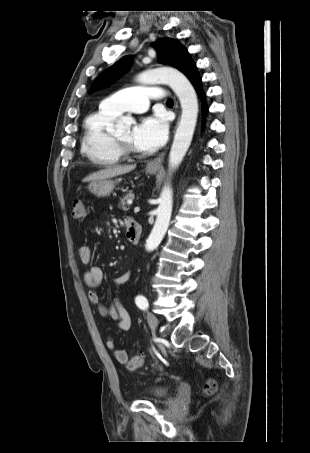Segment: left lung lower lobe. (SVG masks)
Instances as JSON below:
<instances>
[{"label":"left lung lower lobe","instance_id":"left-lung-lower-lobe-1","mask_svg":"<svg viewBox=\"0 0 310 453\" xmlns=\"http://www.w3.org/2000/svg\"><path fill=\"white\" fill-rule=\"evenodd\" d=\"M180 71L183 72L188 77V79L191 81V83L193 84V86L196 89L197 94L200 96V98L203 102L205 94L201 90V86H200L201 80L198 76L196 66L190 58L187 59V61L183 64ZM203 111H206V107H205L204 103H203Z\"/></svg>","mask_w":310,"mask_h":453}]
</instances>
